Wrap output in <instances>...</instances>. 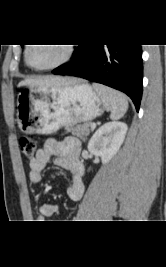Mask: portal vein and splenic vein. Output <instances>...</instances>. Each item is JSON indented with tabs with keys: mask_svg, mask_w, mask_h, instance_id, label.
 Masks as SVG:
<instances>
[{
	"mask_svg": "<svg viewBox=\"0 0 166 267\" xmlns=\"http://www.w3.org/2000/svg\"><path fill=\"white\" fill-rule=\"evenodd\" d=\"M91 128H92V129H95V128H96V124H94V123L91 124Z\"/></svg>",
	"mask_w": 166,
	"mask_h": 267,
	"instance_id": "18ae733b",
	"label": "portal vein and splenic vein"
}]
</instances>
